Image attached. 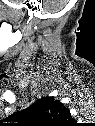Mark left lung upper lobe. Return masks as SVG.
<instances>
[{"mask_svg":"<svg viewBox=\"0 0 95 126\" xmlns=\"http://www.w3.org/2000/svg\"><path fill=\"white\" fill-rule=\"evenodd\" d=\"M7 119L19 121L23 126H68L72 121L68 108L53 97H42Z\"/></svg>","mask_w":95,"mask_h":126,"instance_id":"5c2ea615","label":"left lung upper lobe"}]
</instances>
